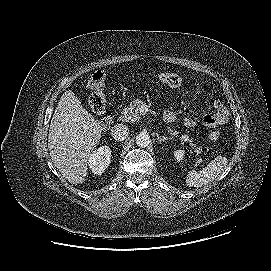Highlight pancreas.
I'll list each match as a JSON object with an SVG mask.
<instances>
[{"label": "pancreas", "instance_id": "obj_1", "mask_svg": "<svg viewBox=\"0 0 271 271\" xmlns=\"http://www.w3.org/2000/svg\"><path fill=\"white\" fill-rule=\"evenodd\" d=\"M144 102L142 100L136 99L130 103V105L127 108H124L123 111L121 112V116L119 117L120 121L124 122H136L140 118V107ZM167 132L172 136V137H177L178 132L175 130H172L170 127H167ZM180 140L182 142H189V145L194 148V151L196 154H199L202 152V148L196 146V144L193 143V139H190L188 135H182L180 137ZM196 164H200L202 162V159H196Z\"/></svg>", "mask_w": 271, "mask_h": 271}]
</instances>
